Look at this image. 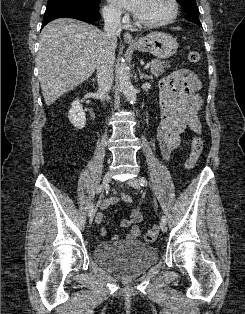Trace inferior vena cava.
Here are the masks:
<instances>
[{
    "mask_svg": "<svg viewBox=\"0 0 245 314\" xmlns=\"http://www.w3.org/2000/svg\"><path fill=\"white\" fill-rule=\"evenodd\" d=\"M106 49L97 66L98 93L102 100L108 95L113 84L114 44L121 33V12L110 10L104 13Z\"/></svg>",
    "mask_w": 245,
    "mask_h": 314,
    "instance_id": "obj_1",
    "label": "inferior vena cava"
}]
</instances>
